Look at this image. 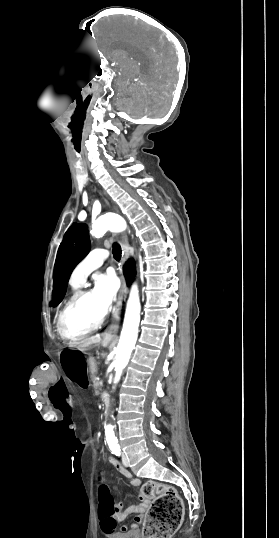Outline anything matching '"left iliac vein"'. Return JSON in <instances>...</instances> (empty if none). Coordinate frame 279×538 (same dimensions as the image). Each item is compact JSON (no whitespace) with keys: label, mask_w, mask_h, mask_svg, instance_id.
<instances>
[{"label":"left iliac vein","mask_w":279,"mask_h":538,"mask_svg":"<svg viewBox=\"0 0 279 538\" xmlns=\"http://www.w3.org/2000/svg\"><path fill=\"white\" fill-rule=\"evenodd\" d=\"M122 462H123V465L126 467L129 465L128 459L124 453L122 454Z\"/></svg>","instance_id":"obj_1"}]
</instances>
